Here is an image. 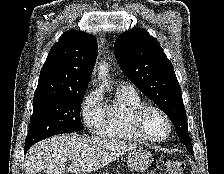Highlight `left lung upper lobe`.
<instances>
[{
  "label": "left lung upper lobe",
  "instance_id": "obj_1",
  "mask_svg": "<svg viewBox=\"0 0 224 174\" xmlns=\"http://www.w3.org/2000/svg\"><path fill=\"white\" fill-rule=\"evenodd\" d=\"M115 57L124 74L171 119L180 141L193 153L181 88L159 43L143 29L120 35Z\"/></svg>",
  "mask_w": 224,
  "mask_h": 174
}]
</instances>
